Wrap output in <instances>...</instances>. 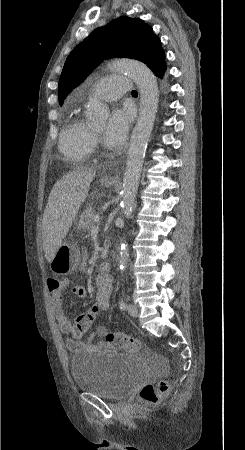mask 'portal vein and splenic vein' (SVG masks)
I'll return each mask as SVG.
<instances>
[{
	"label": "portal vein and splenic vein",
	"mask_w": 245,
	"mask_h": 450,
	"mask_svg": "<svg viewBox=\"0 0 245 450\" xmlns=\"http://www.w3.org/2000/svg\"><path fill=\"white\" fill-rule=\"evenodd\" d=\"M93 221L96 223V225L92 227V231L99 229V215H95Z\"/></svg>",
	"instance_id": "portal-vein-and-splenic-vein-1"
}]
</instances>
